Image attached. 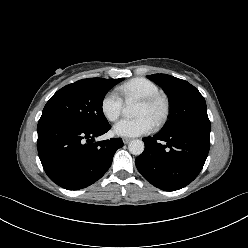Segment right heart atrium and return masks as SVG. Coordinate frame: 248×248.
<instances>
[{
  "instance_id": "right-heart-atrium-1",
  "label": "right heart atrium",
  "mask_w": 248,
  "mask_h": 248,
  "mask_svg": "<svg viewBox=\"0 0 248 248\" xmlns=\"http://www.w3.org/2000/svg\"><path fill=\"white\" fill-rule=\"evenodd\" d=\"M100 108L103 116L108 121L114 122L121 114L123 108V99L117 92L109 91L103 96Z\"/></svg>"
}]
</instances>
